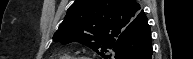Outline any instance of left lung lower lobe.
<instances>
[{
	"label": "left lung lower lobe",
	"instance_id": "obj_1",
	"mask_svg": "<svg viewBox=\"0 0 193 59\" xmlns=\"http://www.w3.org/2000/svg\"><path fill=\"white\" fill-rule=\"evenodd\" d=\"M112 49L116 50L115 59H152L151 31L145 14L133 21Z\"/></svg>",
	"mask_w": 193,
	"mask_h": 59
}]
</instances>
